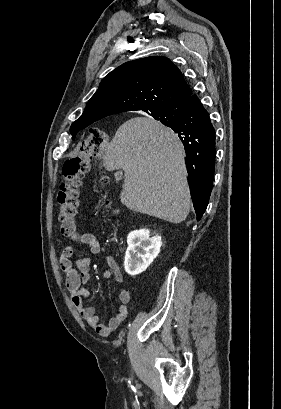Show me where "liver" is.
Listing matches in <instances>:
<instances>
[{"label": "liver", "mask_w": 281, "mask_h": 409, "mask_svg": "<svg viewBox=\"0 0 281 409\" xmlns=\"http://www.w3.org/2000/svg\"><path fill=\"white\" fill-rule=\"evenodd\" d=\"M124 170L122 205L169 223L190 213V188L184 150L177 134L150 116H135L115 132L103 162Z\"/></svg>", "instance_id": "liver-1"}]
</instances>
